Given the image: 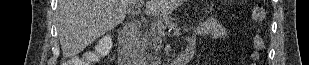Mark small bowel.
<instances>
[{
	"label": "small bowel",
	"mask_w": 309,
	"mask_h": 65,
	"mask_svg": "<svg viewBox=\"0 0 309 65\" xmlns=\"http://www.w3.org/2000/svg\"><path fill=\"white\" fill-rule=\"evenodd\" d=\"M197 35H213L216 38L227 39V32L225 28L218 22L215 18L207 19L203 24H201L195 31ZM194 48V40L190 39L187 45Z\"/></svg>",
	"instance_id": "1"
}]
</instances>
